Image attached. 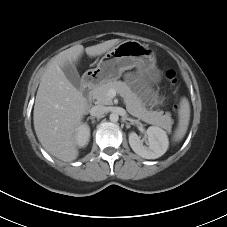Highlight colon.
I'll list each match as a JSON object with an SVG mask.
<instances>
[{
  "label": "colon",
  "instance_id": "1",
  "mask_svg": "<svg viewBox=\"0 0 227 227\" xmlns=\"http://www.w3.org/2000/svg\"><path fill=\"white\" fill-rule=\"evenodd\" d=\"M166 78L172 84H175L177 82V76H176V72L174 70H168L166 72ZM175 110H178L177 105L175 106Z\"/></svg>",
  "mask_w": 227,
  "mask_h": 227
}]
</instances>
